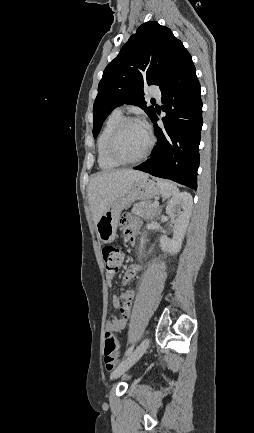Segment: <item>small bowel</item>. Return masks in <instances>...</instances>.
<instances>
[{"label": "small bowel", "instance_id": "c3829d8e", "mask_svg": "<svg viewBox=\"0 0 254 433\" xmlns=\"http://www.w3.org/2000/svg\"><path fill=\"white\" fill-rule=\"evenodd\" d=\"M120 226L128 239L132 240L139 231L140 222L137 219L124 217L121 219ZM142 270L143 267L139 264H132L126 269L122 279L123 287L121 292L119 295H115L112 298V304L115 308L119 309L120 317L108 318L105 323L107 329L118 332L126 328L131 316L134 292L125 290L124 286ZM115 274H108L109 285H111V280Z\"/></svg>", "mask_w": 254, "mask_h": 433}]
</instances>
